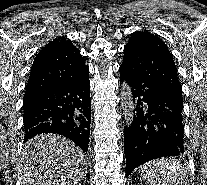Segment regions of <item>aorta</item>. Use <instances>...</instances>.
Returning <instances> with one entry per match:
<instances>
[{"label": "aorta", "mask_w": 207, "mask_h": 185, "mask_svg": "<svg viewBox=\"0 0 207 185\" xmlns=\"http://www.w3.org/2000/svg\"><path fill=\"white\" fill-rule=\"evenodd\" d=\"M121 108L123 111L124 120L127 126L133 122L134 102L130 86L123 81L121 86Z\"/></svg>", "instance_id": "1"}]
</instances>
